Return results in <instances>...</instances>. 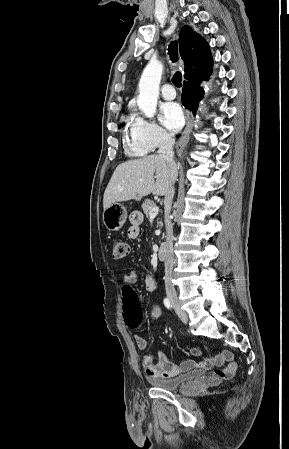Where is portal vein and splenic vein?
Masks as SVG:
<instances>
[{"mask_svg": "<svg viewBox=\"0 0 289 449\" xmlns=\"http://www.w3.org/2000/svg\"><path fill=\"white\" fill-rule=\"evenodd\" d=\"M159 212V208L158 207H154L149 211V216L150 218H155L158 215Z\"/></svg>", "mask_w": 289, "mask_h": 449, "instance_id": "18ae733b", "label": "portal vein and splenic vein"}]
</instances>
